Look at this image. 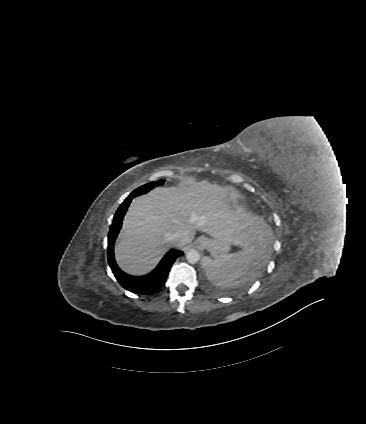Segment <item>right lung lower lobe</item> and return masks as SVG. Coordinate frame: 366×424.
<instances>
[{
	"instance_id": "98d812e1",
	"label": "right lung lower lobe",
	"mask_w": 366,
	"mask_h": 424,
	"mask_svg": "<svg viewBox=\"0 0 366 424\" xmlns=\"http://www.w3.org/2000/svg\"><path fill=\"white\" fill-rule=\"evenodd\" d=\"M128 196L117 210L108 235V261L118 282L127 290L139 294H153L165 283L170 267L175 259L183 254L181 251L171 250L150 274L143 277H134L121 271L114 260V241L122 225L124 214L133 199Z\"/></svg>"
}]
</instances>
